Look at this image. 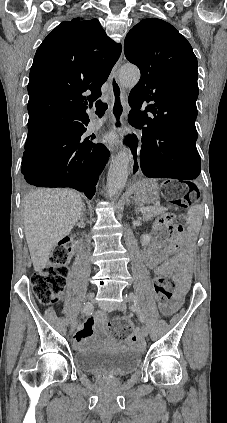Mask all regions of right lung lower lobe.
Listing matches in <instances>:
<instances>
[{"label":"right lung lower lobe","mask_w":227,"mask_h":423,"mask_svg":"<svg viewBox=\"0 0 227 423\" xmlns=\"http://www.w3.org/2000/svg\"><path fill=\"white\" fill-rule=\"evenodd\" d=\"M62 112L52 106H39L29 113V120L50 118ZM76 113L78 123L42 144L25 149L21 172L31 185L70 187L91 199L109 151L102 144L95 145L88 137L85 138L88 115L86 110Z\"/></svg>","instance_id":"1"}]
</instances>
